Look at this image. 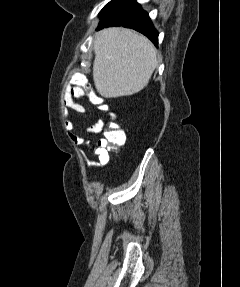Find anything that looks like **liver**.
Listing matches in <instances>:
<instances>
[{
  "label": "liver",
  "instance_id": "1",
  "mask_svg": "<svg viewBox=\"0 0 240 287\" xmlns=\"http://www.w3.org/2000/svg\"><path fill=\"white\" fill-rule=\"evenodd\" d=\"M93 49L94 85L106 98L140 92L158 66L154 45L130 29L113 27L99 31Z\"/></svg>",
  "mask_w": 240,
  "mask_h": 287
}]
</instances>
